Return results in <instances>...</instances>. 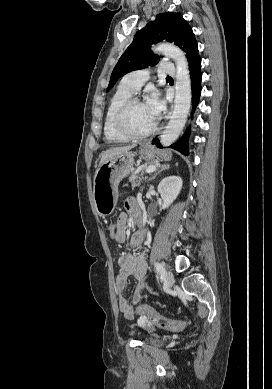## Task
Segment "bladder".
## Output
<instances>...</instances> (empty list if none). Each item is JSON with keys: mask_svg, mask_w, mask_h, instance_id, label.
Instances as JSON below:
<instances>
[{"mask_svg": "<svg viewBox=\"0 0 272 389\" xmlns=\"http://www.w3.org/2000/svg\"><path fill=\"white\" fill-rule=\"evenodd\" d=\"M148 343L153 346H160L163 344V341L158 338H151L148 340Z\"/></svg>", "mask_w": 272, "mask_h": 389, "instance_id": "bladder-1", "label": "bladder"}]
</instances>
